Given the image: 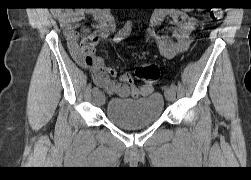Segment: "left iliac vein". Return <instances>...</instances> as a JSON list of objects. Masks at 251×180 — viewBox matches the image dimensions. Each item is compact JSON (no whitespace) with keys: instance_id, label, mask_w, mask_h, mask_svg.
<instances>
[{"instance_id":"left-iliac-vein-1","label":"left iliac vein","mask_w":251,"mask_h":180,"mask_svg":"<svg viewBox=\"0 0 251 180\" xmlns=\"http://www.w3.org/2000/svg\"><path fill=\"white\" fill-rule=\"evenodd\" d=\"M175 96H176V93H175V90L171 89V88H167L165 90V97L168 101H174L175 100Z\"/></svg>"}]
</instances>
